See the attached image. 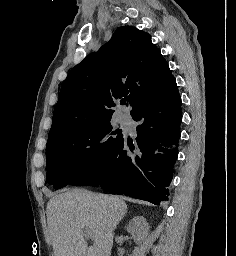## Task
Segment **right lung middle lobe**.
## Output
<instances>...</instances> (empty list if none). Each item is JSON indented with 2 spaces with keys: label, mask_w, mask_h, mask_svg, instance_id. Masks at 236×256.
Instances as JSON below:
<instances>
[{
  "label": "right lung middle lobe",
  "mask_w": 236,
  "mask_h": 256,
  "mask_svg": "<svg viewBox=\"0 0 236 256\" xmlns=\"http://www.w3.org/2000/svg\"><path fill=\"white\" fill-rule=\"evenodd\" d=\"M110 120L80 125L48 138L46 165L49 184L55 189L64 187L107 158L124 137L121 129L112 130Z\"/></svg>",
  "instance_id": "1"
}]
</instances>
